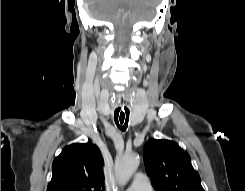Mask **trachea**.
I'll list each match as a JSON object with an SVG mask.
<instances>
[{
	"instance_id": "3493384b",
	"label": "trachea",
	"mask_w": 245,
	"mask_h": 191,
	"mask_svg": "<svg viewBox=\"0 0 245 191\" xmlns=\"http://www.w3.org/2000/svg\"><path fill=\"white\" fill-rule=\"evenodd\" d=\"M129 108L125 103H121L114 112V120L121 131H126L129 121Z\"/></svg>"
}]
</instances>
